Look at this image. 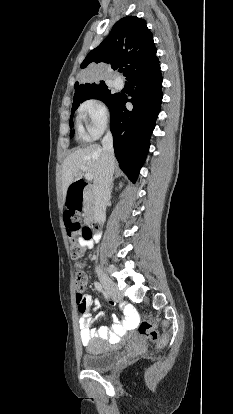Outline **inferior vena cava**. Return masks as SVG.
<instances>
[{"instance_id": "inferior-vena-cava-1", "label": "inferior vena cava", "mask_w": 233, "mask_h": 414, "mask_svg": "<svg viewBox=\"0 0 233 414\" xmlns=\"http://www.w3.org/2000/svg\"><path fill=\"white\" fill-rule=\"evenodd\" d=\"M102 151L100 170L94 179V220L98 223L105 220L106 205L111 196V182L115 167L113 137L110 131L102 140Z\"/></svg>"}]
</instances>
